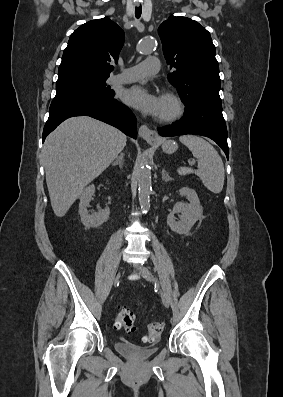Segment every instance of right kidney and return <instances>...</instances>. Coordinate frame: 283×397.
I'll use <instances>...</instances> for the list:
<instances>
[{"instance_id":"obj_1","label":"right kidney","mask_w":283,"mask_h":397,"mask_svg":"<svg viewBox=\"0 0 283 397\" xmlns=\"http://www.w3.org/2000/svg\"><path fill=\"white\" fill-rule=\"evenodd\" d=\"M95 192V186L92 184L85 188L80 195L79 214L81 222L86 228H97L107 221L110 215V209H99L98 212L90 214L88 212L89 203Z\"/></svg>"}]
</instances>
